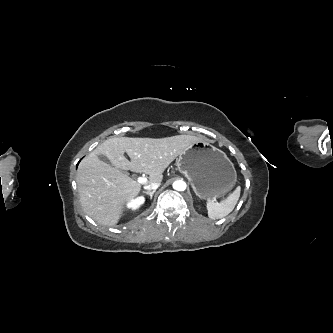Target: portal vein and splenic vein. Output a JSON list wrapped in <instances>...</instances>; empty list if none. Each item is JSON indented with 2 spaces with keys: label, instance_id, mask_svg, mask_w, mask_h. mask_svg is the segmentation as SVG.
I'll list each match as a JSON object with an SVG mask.
<instances>
[{
  "label": "portal vein and splenic vein",
  "instance_id": "18ae733b",
  "mask_svg": "<svg viewBox=\"0 0 333 333\" xmlns=\"http://www.w3.org/2000/svg\"><path fill=\"white\" fill-rule=\"evenodd\" d=\"M137 182L144 184L147 182V178L144 176L138 177Z\"/></svg>",
  "mask_w": 333,
  "mask_h": 333
}]
</instances>
